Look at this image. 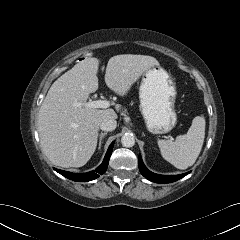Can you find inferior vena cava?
Here are the masks:
<instances>
[{
	"label": "inferior vena cava",
	"instance_id": "obj_1",
	"mask_svg": "<svg viewBox=\"0 0 240 240\" xmlns=\"http://www.w3.org/2000/svg\"><path fill=\"white\" fill-rule=\"evenodd\" d=\"M117 126V122L114 119H105L100 124V129L103 131H113Z\"/></svg>",
	"mask_w": 240,
	"mask_h": 240
}]
</instances>
